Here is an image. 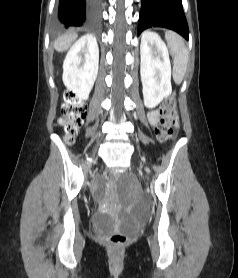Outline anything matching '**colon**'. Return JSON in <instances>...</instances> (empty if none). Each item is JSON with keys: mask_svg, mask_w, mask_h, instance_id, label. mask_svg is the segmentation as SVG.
<instances>
[{"mask_svg": "<svg viewBox=\"0 0 238 278\" xmlns=\"http://www.w3.org/2000/svg\"><path fill=\"white\" fill-rule=\"evenodd\" d=\"M85 106L77 99L72 92H66L64 103L61 107L60 125L64 129L65 139L68 143L73 142L79 128L86 116ZM160 122L156 129L157 137L160 141H167L174 135V125L176 122L175 101L172 97L167 98L160 106ZM106 184L112 185L117 180V174L112 171L105 173ZM97 235L115 248L123 246L127 241V236L121 231L97 230Z\"/></svg>", "mask_w": 238, "mask_h": 278, "instance_id": "5ec220e1", "label": "colon"}]
</instances>
